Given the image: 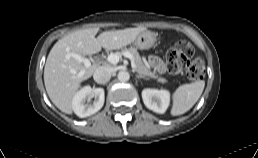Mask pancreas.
<instances>
[{
  "label": "pancreas",
  "mask_w": 258,
  "mask_h": 158,
  "mask_svg": "<svg viewBox=\"0 0 258 158\" xmlns=\"http://www.w3.org/2000/svg\"><path fill=\"white\" fill-rule=\"evenodd\" d=\"M125 52H128L130 53L132 56H133V59H134V63H135V66H136V71L142 75V76H148V77H151V78H154V79H157L158 82H161V83H166V79L163 78V77H160L158 75L155 74V72H152L150 71L143 63L138 51L133 48V47H130V48H123L121 50V52H117V55L120 56L121 54L125 53Z\"/></svg>",
  "instance_id": "1"
}]
</instances>
